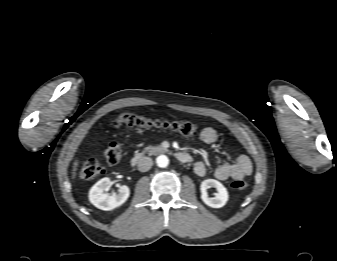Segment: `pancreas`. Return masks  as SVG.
Segmentation results:
<instances>
[{
    "mask_svg": "<svg viewBox=\"0 0 337 261\" xmlns=\"http://www.w3.org/2000/svg\"><path fill=\"white\" fill-rule=\"evenodd\" d=\"M167 149L162 146H147L144 148L143 152H148L149 155H154L156 153L166 152Z\"/></svg>",
    "mask_w": 337,
    "mask_h": 261,
    "instance_id": "pancreas-1",
    "label": "pancreas"
}]
</instances>
